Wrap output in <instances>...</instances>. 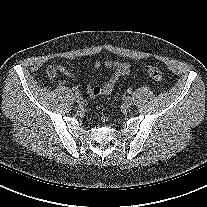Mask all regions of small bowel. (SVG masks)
Here are the masks:
<instances>
[{
    "instance_id": "obj_1",
    "label": "small bowel",
    "mask_w": 207,
    "mask_h": 207,
    "mask_svg": "<svg viewBox=\"0 0 207 207\" xmlns=\"http://www.w3.org/2000/svg\"><path fill=\"white\" fill-rule=\"evenodd\" d=\"M100 67L110 69L112 70V73L108 77L107 81L103 84H90L86 87V92L91 97H98L110 94L113 91L119 78L128 75L131 71V66L128 62H119L113 60H106L103 63H101L100 61H96L94 63V68L98 69ZM47 73L50 77H56L59 73H62L68 77L74 76V74L69 69L59 64L50 66L47 70Z\"/></svg>"
}]
</instances>
